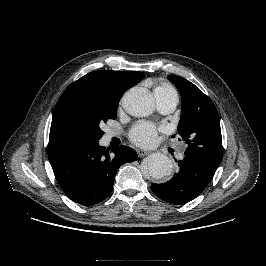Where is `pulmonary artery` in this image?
<instances>
[{"label":"pulmonary artery","instance_id":"pulmonary-artery-1","mask_svg":"<svg viewBox=\"0 0 266 266\" xmlns=\"http://www.w3.org/2000/svg\"><path fill=\"white\" fill-rule=\"evenodd\" d=\"M156 99H157L158 109L164 114L173 112L178 104V97L174 95L158 97ZM183 152L184 148H181L180 157H183Z\"/></svg>","mask_w":266,"mask_h":266}]
</instances>
